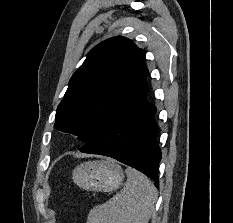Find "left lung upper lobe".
Wrapping results in <instances>:
<instances>
[{
  "instance_id": "5c2ea615",
  "label": "left lung upper lobe",
  "mask_w": 233,
  "mask_h": 223,
  "mask_svg": "<svg viewBox=\"0 0 233 223\" xmlns=\"http://www.w3.org/2000/svg\"><path fill=\"white\" fill-rule=\"evenodd\" d=\"M145 54L121 36L95 46L71 77L54 128L88 144L144 83Z\"/></svg>"
}]
</instances>
